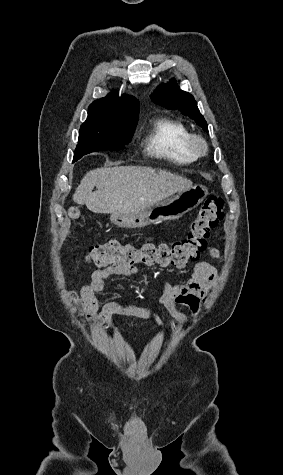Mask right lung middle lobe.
I'll return each instance as SVG.
<instances>
[{
  "instance_id": "dd1d6c3e",
  "label": "right lung middle lobe",
  "mask_w": 283,
  "mask_h": 475,
  "mask_svg": "<svg viewBox=\"0 0 283 475\" xmlns=\"http://www.w3.org/2000/svg\"><path fill=\"white\" fill-rule=\"evenodd\" d=\"M139 106H89L87 120L79 131L73 162L83 155L103 150H121L132 138Z\"/></svg>"
}]
</instances>
